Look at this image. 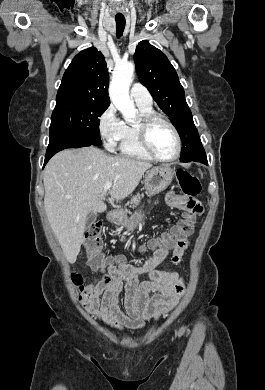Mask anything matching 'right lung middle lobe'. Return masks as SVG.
<instances>
[{
    "label": "right lung middle lobe",
    "mask_w": 265,
    "mask_h": 390,
    "mask_svg": "<svg viewBox=\"0 0 265 390\" xmlns=\"http://www.w3.org/2000/svg\"><path fill=\"white\" fill-rule=\"evenodd\" d=\"M109 105L85 101H56L51 116L50 139L72 137L101 145L99 117Z\"/></svg>",
    "instance_id": "dd1d6c3e"
}]
</instances>
